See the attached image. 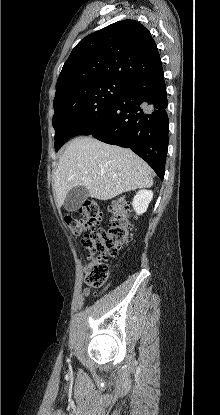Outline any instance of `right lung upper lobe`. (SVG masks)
Returning a JSON list of instances; mask_svg holds the SVG:
<instances>
[{
    "label": "right lung upper lobe",
    "mask_w": 220,
    "mask_h": 415,
    "mask_svg": "<svg viewBox=\"0 0 220 415\" xmlns=\"http://www.w3.org/2000/svg\"><path fill=\"white\" fill-rule=\"evenodd\" d=\"M162 69L150 32L135 20H123L87 35L72 50L59 75L56 94L93 81L128 84Z\"/></svg>",
    "instance_id": "1"
}]
</instances>
